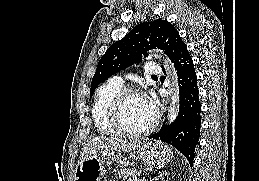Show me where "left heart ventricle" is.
Segmentation results:
<instances>
[{
	"label": "left heart ventricle",
	"instance_id": "b2bd125f",
	"mask_svg": "<svg viewBox=\"0 0 259 181\" xmlns=\"http://www.w3.org/2000/svg\"><path fill=\"white\" fill-rule=\"evenodd\" d=\"M152 113L145 102V98L134 96L127 100L123 108L122 120L126 128L139 130L148 126L154 119Z\"/></svg>",
	"mask_w": 259,
	"mask_h": 181
}]
</instances>
